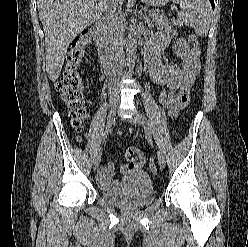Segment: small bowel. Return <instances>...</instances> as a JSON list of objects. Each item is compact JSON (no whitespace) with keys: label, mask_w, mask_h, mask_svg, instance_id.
I'll use <instances>...</instances> for the list:
<instances>
[{"label":"small bowel","mask_w":248,"mask_h":247,"mask_svg":"<svg viewBox=\"0 0 248 247\" xmlns=\"http://www.w3.org/2000/svg\"><path fill=\"white\" fill-rule=\"evenodd\" d=\"M172 38V32L153 37L149 45L148 66L155 89L159 91L166 86L171 90L169 112L171 115H176L186 106L195 90L200 71V50L198 46H191L185 39L179 38L173 48L175 54L184 61L183 65L180 67L172 63H163V50ZM125 159L128 163L121 166L122 177L119 180L114 179L115 167L112 161H109L107 166L99 168L97 179L102 187H122L130 173L141 170L146 164L144 153L135 147L127 149Z\"/></svg>","instance_id":"c3829d8e"}]
</instances>
